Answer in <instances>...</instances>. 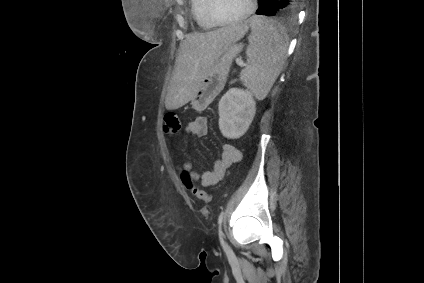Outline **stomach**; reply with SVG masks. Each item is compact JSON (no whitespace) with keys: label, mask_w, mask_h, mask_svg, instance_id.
Wrapping results in <instances>:
<instances>
[{"label":"stomach","mask_w":424,"mask_h":283,"mask_svg":"<svg viewBox=\"0 0 424 283\" xmlns=\"http://www.w3.org/2000/svg\"><path fill=\"white\" fill-rule=\"evenodd\" d=\"M242 47L243 45L237 44V42H232L226 47V49L214 63L210 71L205 75L198 91L191 99V104L195 109H204L202 107H199V102L205 93L212 90V94L215 95L222 88V85L229 72L230 65L236 55L242 50Z\"/></svg>","instance_id":"obj_1"}]
</instances>
